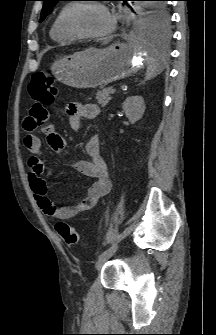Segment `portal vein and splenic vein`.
Here are the masks:
<instances>
[{"instance_id":"1","label":"portal vein and splenic vein","mask_w":216,"mask_h":335,"mask_svg":"<svg viewBox=\"0 0 216 335\" xmlns=\"http://www.w3.org/2000/svg\"><path fill=\"white\" fill-rule=\"evenodd\" d=\"M115 92H116V89H115V88H112L110 93H111V94H114Z\"/></svg>"}]
</instances>
